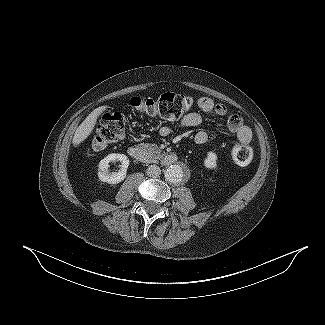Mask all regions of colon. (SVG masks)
Returning a JSON list of instances; mask_svg holds the SVG:
<instances>
[{
  "label": "colon",
  "mask_w": 325,
  "mask_h": 325,
  "mask_svg": "<svg viewBox=\"0 0 325 325\" xmlns=\"http://www.w3.org/2000/svg\"><path fill=\"white\" fill-rule=\"evenodd\" d=\"M131 105L140 113L165 120H179L193 105L190 96L175 93H163L150 97H135ZM126 133V118L119 111L108 112L101 118L91 138L89 150H102L110 144L121 141ZM253 157L252 148L245 144H236L232 150V159L238 165H247Z\"/></svg>",
  "instance_id": "1"
}]
</instances>
